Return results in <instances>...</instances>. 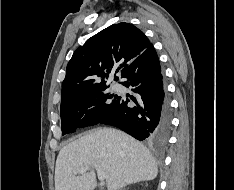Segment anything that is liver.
<instances>
[{
	"label": "liver",
	"instance_id": "1",
	"mask_svg": "<svg viewBox=\"0 0 234 190\" xmlns=\"http://www.w3.org/2000/svg\"><path fill=\"white\" fill-rule=\"evenodd\" d=\"M97 165L106 175L108 190L157 177L158 167L148 149L113 128H98L64 146L57 157L55 190H94ZM89 167L80 176L74 171Z\"/></svg>",
	"mask_w": 234,
	"mask_h": 190
}]
</instances>
